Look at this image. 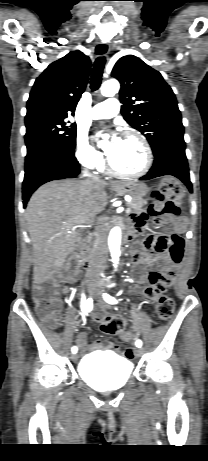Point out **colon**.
<instances>
[{
	"mask_svg": "<svg viewBox=\"0 0 208 461\" xmlns=\"http://www.w3.org/2000/svg\"><path fill=\"white\" fill-rule=\"evenodd\" d=\"M181 193L179 183L173 179L161 181L158 189L152 194V203L149 206V214L152 217H167L176 219L180 215V210L175 200ZM32 299L38 314L46 324L54 328L57 324V313L60 306L58 298V284L53 280H48L43 284L35 285L33 288ZM175 311V300L170 295H163L157 305V315L163 321L172 319ZM131 344L130 342L128 343ZM134 348H125L124 357L127 360L135 358Z\"/></svg>",
	"mask_w": 208,
	"mask_h": 461,
	"instance_id": "5ec220e1",
	"label": "colon"
}]
</instances>
